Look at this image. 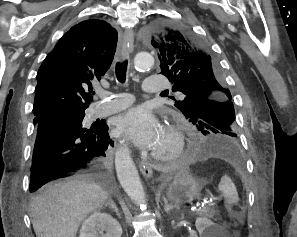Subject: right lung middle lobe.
<instances>
[{
	"label": "right lung middle lobe",
	"mask_w": 297,
	"mask_h": 237,
	"mask_svg": "<svg viewBox=\"0 0 297 237\" xmlns=\"http://www.w3.org/2000/svg\"><path fill=\"white\" fill-rule=\"evenodd\" d=\"M65 114H67L69 117L73 118L74 120H76L80 123H82L83 118L85 116L84 112H67ZM38 121H34L35 125H37Z\"/></svg>",
	"instance_id": "right-lung-middle-lobe-1"
}]
</instances>
